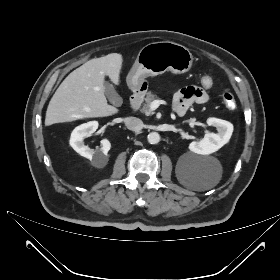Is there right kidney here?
I'll list each match as a JSON object with an SVG mask.
<instances>
[{
    "instance_id": "obj_1",
    "label": "right kidney",
    "mask_w": 280,
    "mask_h": 280,
    "mask_svg": "<svg viewBox=\"0 0 280 280\" xmlns=\"http://www.w3.org/2000/svg\"><path fill=\"white\" fill-rule=\"evenodd\" d=\"M98 128L97 121H90L76 127L70 137L71 147L81 156L89 160H93L97 167L104 166L107 162V153L111 148V143L108 139L101 140V148L94 150L84 145V138L90 136Z\"/></svg>"
}]
</instances>
